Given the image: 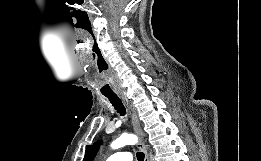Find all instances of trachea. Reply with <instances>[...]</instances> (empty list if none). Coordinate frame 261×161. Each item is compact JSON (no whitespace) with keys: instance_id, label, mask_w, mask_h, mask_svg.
I'll return each mask as SVG.
<instances>
[{"instance_id":"1","label":"trachea","mask_w":261,"mask_h":161,"mask_svg":"<svg viewBox=\"0 0 261 161\" xmlns=\"http://www.w3.org/2000/svg\"><path fill=\"white\" fill-rule=\"evenodd\" d=\"M114 108L120 113L121 116H124L126 113L125 107L122 101L117 96H106ZM138 161H144L145 154L143 152H137L136 154Z\"/></svg>"}]
</instances>
